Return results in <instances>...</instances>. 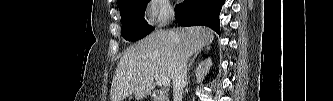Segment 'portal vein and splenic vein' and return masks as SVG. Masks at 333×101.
<instances>
[{"instance_id": "1", "label": "portal vein and splenic vein", "mask_w": 333, "mask_h": 101, "mask_svg": "<svg viewBox=\"0 0 333 101\" xmlns=\"http://www.w3.org/2000/svg\"><path fill=\"white\" fill-rule=\"evenodd\" d=\"M155 79L160 85H163V86L170 85V80L166 77H162L160 75H155Z\"/></svg>"}]
</instances>
